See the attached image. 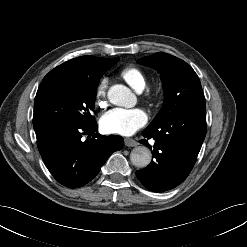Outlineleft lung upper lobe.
<instances>
[{
    "mask_svg": "<svg viewBox=\"0 0 247 247\" xmlns=\"http://www.w3.org/2000/svg\"><path fill=\"white\" fill-rule=\"evenodd\" d=\"M137 62L157 69L164 88V105L147 128H154L178 114L205 112L200 80L186 62L162 52L143 57Z\"/></svg>",
    "mask_w": 247,
    "mask_h": 247,
    "instance_id": "5c2ea615",
    "label": "left lung upper lobe"
}]
</instances>
